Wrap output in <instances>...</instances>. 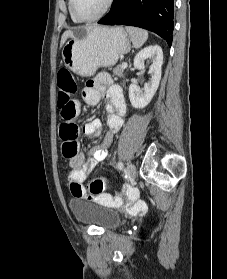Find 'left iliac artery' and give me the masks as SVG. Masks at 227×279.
Instances as JSON below:
<instances>
[{
	"instance_id": "obj_1",
	"label": "left iliac artery",
	"mask_w": 227,
	"mask_h": 279,
	"mask_svg": "<svg viewBox=\"0 0 227 279\" xmlns=\"http://www.w3.org/2000/svg\"><path fill=\"white\" fill-rule=\"evenodd\" d=\"M117 167H118L120 170H122L124 166H123L122 162H118Z\"/></svg>"
}]
</instances>
